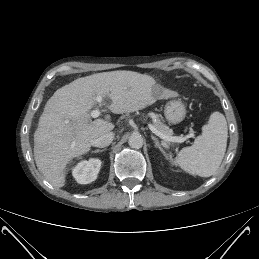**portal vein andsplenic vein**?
<instances>
[{
  "label": "portal vein and splenic vein",
  "mask_w": 259,
  "mask_h": 259,
  "mask_svg": "<svg viewBox=\"0 0 259 259\" xmlns=\"http://www.w3.org/2000/svg\"><path fill=\"white\" fill-rule=\"evenodd\" d=\"M95 100L98 103H102L103 98H102V96L98 95V96H96ZM99 116H100L99 110L91 111V117L97 118ZM148 127L155 135H157L158 137H160L164 141H167V142H183V141H185V138H183V137L167 136V135L161 133L152 124H148Z\"/></svg>",
  "instance_id": "1"
}]
</instances>
